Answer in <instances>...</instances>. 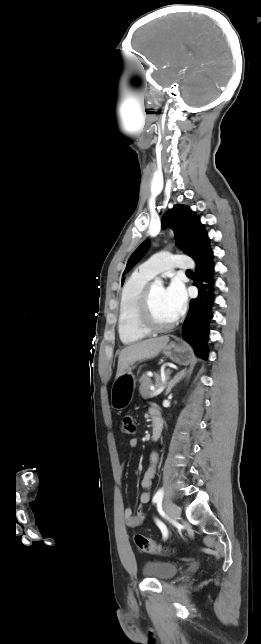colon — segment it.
I'll return each instance as SVG.
<instances>
[{"mask_svg":"<svg viewBox=\"0 0 261 644\" xmlns=\"http://www.w3.org/2000/svg\"><path fill=\"white\" fill-rule=\"evenodd\" d=\"M121 430L125 435H133L136 432V423L131 414H126L122 418ZM134 543L136 547L148 554H155L163 552V548L157 544L153 539L143 536L141 534L134 535Z\"/></svg>","mask_w":261,"mask_h":644,"instance_id":"obj_1","label":"colon"}]
</instances>
